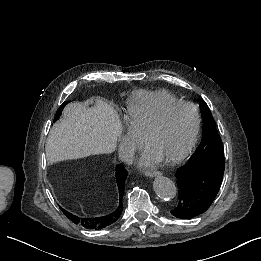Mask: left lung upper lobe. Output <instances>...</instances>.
<instances>
[{
  "instance_id": "1",
  "label": "left lung upper lobe",
  "mask_w": 261,
  "mask_h": 261,
  "mask_svg": "<svg viewBox=\"0 0 261 261\" xmlns=\"http://www.w3.org/2000/svg\"><path fill=\"white\" fill-rule=\"evenodd\" d=\"M200 107L203 120V135L201 143L193 155L202 156L204 154H212L218 157H224L222 140L217 132L211 111L204 102H200Z\"/></svg>"
}]
</instances>
